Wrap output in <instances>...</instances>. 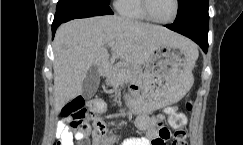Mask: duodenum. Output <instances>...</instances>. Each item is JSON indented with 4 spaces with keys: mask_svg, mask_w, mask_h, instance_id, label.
<instances>
[{
    "mask_svg": "<svg viewBox=\"0 0 243 145\" xmlns=\"http://www.w3.org/2000/svg\"><path fill=\"white\" fill-rule=\"evenodd\" d=\"M110 72V66L109 65H102L101 68H100V75L103 76V77H106L108 76Z\"/></svg>",
    "mask_w": 243,
    "mask_h": 145,
    "instance_id": "410a0bca",
    "label": "duodenum"
}]
</instances>
